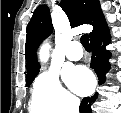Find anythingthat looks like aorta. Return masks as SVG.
Wrapping results in <instances>:
<instances>
[{"mask_svg": "<svg viewBox=\"0 0 121 113\" xmlns=\"http://www.w3.org/2000/svg\"><path fill=\"white\" fill-rule=\"evenodd\" d=\"M49 44L45 43L41 46L40 52H39V57L42 62H46L48 57H49Z\"/></svg>", "mask_w": 121, "mask_h": 113, "instance_id": "762f6f07", "label": "aorta"}]
</instances>
